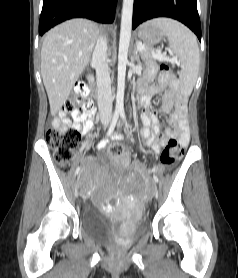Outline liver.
I'll return each instance as SVG.
<instances>
[{"label": "liver", "instance_id": "6515ba94", "mask_svg": "<svg viewBox=\"0 0 238 278\" xmlns=\"http://www.w3.org/2000/svg\"><path fill=\"white\" fill-rule=\"evenodd\" d=\"M98 36V25L86 19L65 21L46 34L41 48V76L53 115L65 104L89 64Z\"/></svg>", "mask_w": 238, "mask_h": 278}]
</instances>
